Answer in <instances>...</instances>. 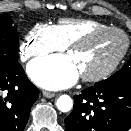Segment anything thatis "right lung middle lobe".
I'll use <instances>...</instances> for the list:
<instances>
[{"label":"right lung middle lobe","instance_id":"obj_1","mask_svg":"<svg viewBox=\"0 0 131 131\" xmlns=\"http://www.w3.org/2000/svg\"><path fill=\"white\" fill-rule=\"evenodd\" d=\"M13 20L0 15V69L18 64L19 39Z\"/></svg>","mask_w":131,"mask_h":131}]
</instances>
